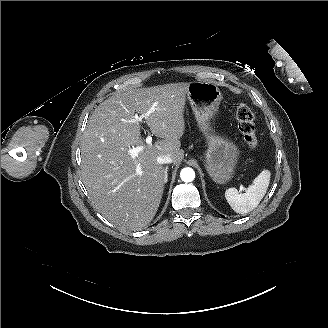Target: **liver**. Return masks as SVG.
I'll return each mask as SVG.
<instances>
[{
	"instance_id": "1",
	"label": "liver",
	"mask_w": 328,
	"mask_h": 328,
	"mask_svg": "<svg viewBox=\"0 0 328 328\" xmlns=\"http://www.w3.org/2000/svg\"><path fill=\"white\" fill-rule=\"evenodd\" d=\"M188 83L135 88L117 93L92 113L81 146L82 180L97 211L124 230L148 225L155 217L168 181V168L157 158L170 155L178 162L180 138L186 130ZM141 114L152 135L147 144ZM138 147L136 156L128 150ZM139 168L143 177L134 175Z\"/></svg>"
}]
</instances>
